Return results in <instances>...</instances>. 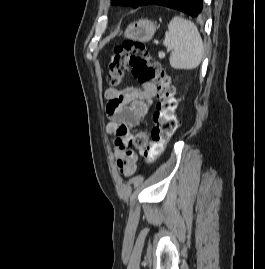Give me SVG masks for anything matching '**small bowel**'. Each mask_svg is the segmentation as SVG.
<instances>
[{
    "label": "small bowel",
    "mask_w": 265,
    "mask_h": 269,
    "mask_svg": "<svg viewBox=\"0 0 265 269\" xmlns=\"http://www.w3.org/2000/svg\"><path fill=\"white\" fill-rule=\"evenodd\" d=\"M155 95L156 86L153 83H144L140 88L129 86L123 89L108 88L104 91L106 113L110 118L107 131L116 135L114 151L117 166L125 176L134 173L138 159L137 150L147 143V135L140 132L135 138L136 147L132 148L133 140L129 130L140 125L152 108ZM120 129H124L126 133H118Z\"/></svg>",
    "instance_id": "obj_1"
}]
</instances>
